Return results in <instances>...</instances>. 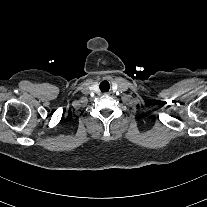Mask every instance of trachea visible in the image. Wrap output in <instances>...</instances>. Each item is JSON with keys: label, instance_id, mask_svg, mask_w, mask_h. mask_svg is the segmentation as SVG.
I'll use <instances>...</instances> for the list:
<instances>
[{"label": "trachea", "instance_id": "trachea-1", "mask_svg": "<svg viewBox=\"0 0 207 207\" xmlns=\"http://www.w3.org/2000/svg\"><path fill=\"white\" fill-rule=\"evenodd\" d=\"M109 88H110V86H109V82L108 81H102L100 83V90L102 92L109 91Z\"/></svg>", "mask_w": 207, "mask_h": 207}]
</instances>
